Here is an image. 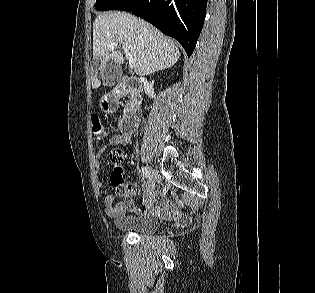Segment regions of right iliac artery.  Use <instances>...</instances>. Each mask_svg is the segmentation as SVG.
<instances>
[{
  "label": "right iliac artery",
  "mask_w": 315,
  "mask_h": 293,
  "mask_svg": "<svg viewBox=\"0 0 315 293\" xmlns=\"http://www.w3.org/2000/svg\"><path fill=\"white\" fill-rule=\"evenodd\" d=\"M142 173H143V175L146 177V178H148V179H150V172L147 170V168L146 167H142Z\"/></svg>",
  "instance_id": "1"
}]
</instances>
